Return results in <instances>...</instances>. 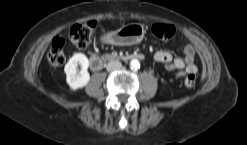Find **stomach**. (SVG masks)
Returning <instances> with one entry per match:
<instances>
[{"instance_id":"stomach-1","label":"stomach","mask_w":247,"mask_h":145,"mask_svg":"<svg viewBox=\"0 0 247 145\" xmlns=\"http://www.w3.org/2000/svg\"><path fill=\"white\" fill-rule=\"evenodd\" d=\"M144 28L140 24H128L121 28L108 32L104 41L113 45H134L140 43L144 37Z\"/></svg>"}]
</instances>
